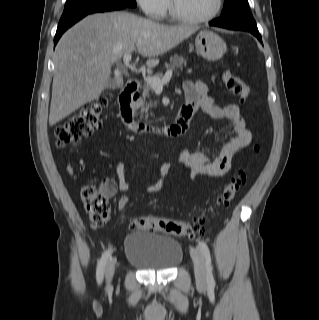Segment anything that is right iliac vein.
<instances>
[{
  "mask_svg": "<svg viewBox=\"0 0 319 320\" xmlns=\"http://www.w3.org/2000/svg\"><path fill=\"white\" fill-rule=\"evenodd\" d=\"M115 263H116V259L114 258L111 261H109L106 265L105 273H106L107 283H110L113 278L114 271H115Z\"/></svg>",
  "mask_w": 319,
  "mask_h": 320,
  "instance_id": "63e3f726",
  "label": "right iliac vein"
}]
</instances>
